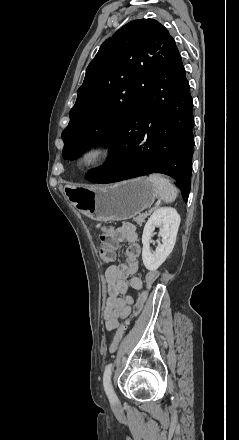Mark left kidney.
Listing matches in <instances>:
<instances>
[{
    "instance_id": "left-kidney-1",
    "label": "left kidney",
    "mask_w": 239,
    "mask_h": 440,
    "mask_svg": "<svg viewBox=\"0 0 239 440\" xmlns=\"http://www.w3.org/2000/svg\"><path fill=\"white\" fill-rule=\"evenodd\" d=\"M156 226H162L159 232L162 244H158L155 252H151L150 240ZM179 226L180 216L174 208H159L152 214L145 224L142 236V260L146 270L155 272L165 262L175 246Z\"/></svg>"
}]
</instances>
